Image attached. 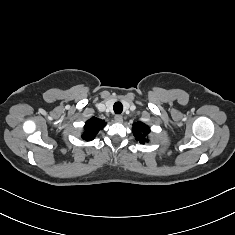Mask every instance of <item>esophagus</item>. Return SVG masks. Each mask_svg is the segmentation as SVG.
<instances>
[{"instance_id":"1","label":"esophagus","mask_w":235,"mask_h":235,"mask_svg":"<svg viewBox=\"0 0 235 235\" xmlns=\"http://www.w3.org/2000/svg\"><path fill=\"white\" fill-rule=\"evenodd\" d=\"M114 119L117 123H121L123 121V117L121 115H115Z\"/></svg>"}]
</instances>
